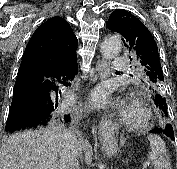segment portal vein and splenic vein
<instances>
[{"label":"portal vein and splenic vein","mask_w":177,"mask_h":169,"mask_svg":"<svg viewBox=\"0 0 177 169\" xmlns=\"http://www.w3.org/2000/svg\"><path fill=\"white\" fill-rule=\"evenodd\" d=\"M142 169H147V163H143Z\"/></svg>","instance_id":"portal-vein-and-splenic-vein-1"}]
</instances>
